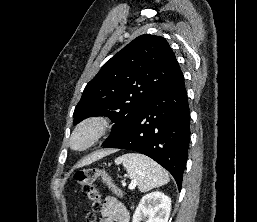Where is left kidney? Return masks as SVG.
<instances>
[{
    "label": "left kidney",
    "instance_id": "left-kidney-1",
    "mask_svg": "<svg viewBox=\"0 0 257 222\" xmlns=\"http://www.w3.org/2000/svg\"><path fill=\"white\" fill-rule=\"evenodd\" d=\"M171 211V199L164 193L155 191L146 194L140 200L132 222H168Z\"/></svg>",
    "mask_w": 257,
    "mask_h": 222
}]
</instances>
